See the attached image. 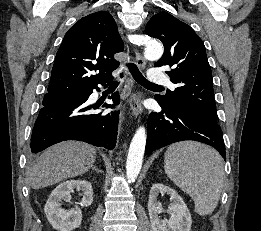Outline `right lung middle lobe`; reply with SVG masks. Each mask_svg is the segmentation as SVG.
Instances as JSON below:
<instances>
[{"mask_svg":"<svg viewBox=\"0 0 261 231\" xmlns=\"http://www.w3.org/2000/svg\"><path fill=\"white\" fill-rule=\"evenodd\" d=\"M81 95H82V93L73 94V95H48V94H46L44 96L42 105L43 106H49V105H52V104H56V103H59V102H63V101H66V100L76 98V97L81 96Z\"/></svg>","mask_w":261,"mask_h":231,"instance_id":"1","label":"right lung middle lobe"}]
</instances>
